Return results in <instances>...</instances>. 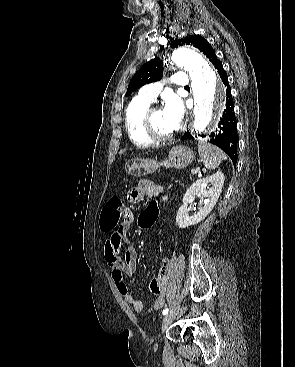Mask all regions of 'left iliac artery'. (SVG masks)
<instances>
[{"label": "left iliac artery", "mask_w": 295, "mask_h": 367, "mask_svg": "<svg viewBox=\"0 0 295 367\" xmlns=\"http://www.w3.org/2000/svg\"><path fill=\"white\" fill-rule=\"evenodd\" d=\"M169 309L168 308H165L162 312L163 315H166L168 313Z\"/></svg>", "instance_id": "obj_1"}]
</instances>
